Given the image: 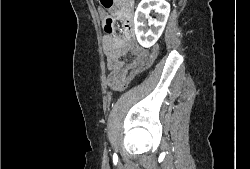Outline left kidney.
Listing matches in <instances>:
<instances>
[{
    "label": "left kidney",
    "mask_w": 250,
    "mask_h": 169,
    "mask_svg": "<svg viewBox=\"0 0 250 169\" xmlns=\"http://www.w3.org/2000/svg\"><path fill=\"white\" fill-rule=\"evenodd\" d=\"M150 10L157 12V18L150 16ZM170 4L167 0H140L134 14V30L136 38L141 46H152L161 36L168 20ZM145 20L149 26L154 24L156 30L149 28L145 32Z\"/></svg>",
    "instance_id": "5707ae66"
}]
</instances>
